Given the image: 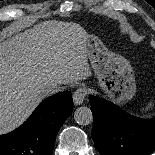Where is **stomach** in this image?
Instances as JSON below:
<instances>
[{
	"label": "stomach",
	"mask_w": 155,
	"mask_h": 155,
	"mask_svg": "<svg viewBox=\"0 0 155 155\" xmlns=\"http://www.w3.org/2000/svg\"><path fill=\"white\" fill-rule=\"evenodd\" d=\"M84 48L105 96L120 105L131 100L136 92V83L129 61L108 50L95 35L87 34Z\"/></svg>",
	"instance_id": "stomach-1"
}]
</instances>
